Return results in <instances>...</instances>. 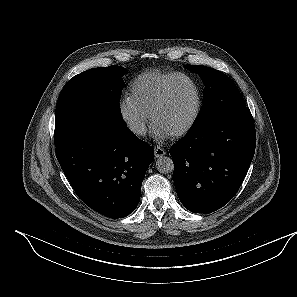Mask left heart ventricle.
<instances>
[{
	"instance_id": "left-heart-ventricle-1",
	"label": "left heart ventricle",
	"mask_w": 297,
	"mask_h": 297,
	"mask_svg": "<svg viewBox=\"0 0 297 297\" xmlns=\"http://www.w3.org/2000/svg\"><path fill=\"white\" fill-rule=\"evenodd\" d=\"M195 105V92L186 80L178 81L171 89L164 106L156 113L153 125L171 135L190 119Z\"/></svg>"
}]
</instances>
